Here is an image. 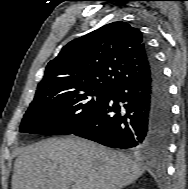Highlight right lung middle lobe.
Returning a JSON list of instances; mask_svg holds the SVG:
<instances>
[{
  "label": "right lung middle lobe",
  "instance_id": "obj_1",
  "mask_svg": "<svg viewBox=\"0 0 188 189\" xmlns=\"http://www.w3.org/2000/svg\"><path fill=\"white\" fill-rule=\"evenodd\" d=\"M110 91L98 87L35 95L22 119L20 132L72 134L90 119Z\"/></svg>",
  "mask_w": 188,
  "mask_h": 189
}]
</instances>
